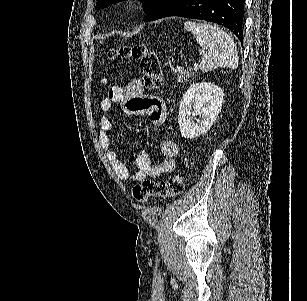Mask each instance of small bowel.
I'll return each instance as SVG.
<instances>
[{
    "instance_id": "c3829d8e",
    "label": "small bowel",
    "mask_w": 307,
    "mask_h": 301,
    "mask_svg": "<svg viewBox=\"0 0 307 301\" xmlns=\"http://www.w3.org/2000/svg\"><path fill=\"white\" fill-rule=\"evenodd\" d=\"M121 103L125 112L132 115H148L156 126H162L166 120V106L164 101L147 94L138 80L132 81L127 87L114 86L110 88L107 97L101 103L103 112L109 111L115 103ZM113 122L109 117L103 116L99 120L98 141L106 153L116 176L122 180L141 181L145 178H158L175 170V157L179 153L177 143L171 138H165L161 143V151L164 158L156 165H152L146 151L138 153L135 159L137 171L131 174L122 163L116 152L111 148V133Z\"/></svg>"
}]
</instances>
